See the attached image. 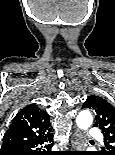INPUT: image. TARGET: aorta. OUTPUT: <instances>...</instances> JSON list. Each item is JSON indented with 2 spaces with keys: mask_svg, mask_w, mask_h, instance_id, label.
<instances>
[{
  "mask_svg": "<svg viewBox=\"0 0 115 155\" xmlns=\"http://www.w3.org/2000/svg\"><path fill=\"white\" fill-rule=\"evenodd\" d=\"M92 122L93 116L88 110L81 111L76 118V124L82 130H87L92 125Z\"/></svg>",
  "mask_w": 115,
  "mask_h": 155,
  "instance_id": "obj_1",
  "label": "aorta"
}]
</instances>
